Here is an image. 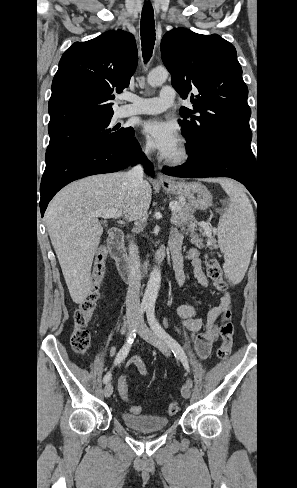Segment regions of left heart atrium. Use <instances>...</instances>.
I'll list each match as a JSON object with an SVG mask.
<instances>
[{
  "mask_svg": "<svg viewBox=\"0 0 297 488\" xmlns=\"http://www.w3.org/2000/svg\"><path fill=\"white\" fill-rule=\"evenodd\" d=\"M142 132L162 157H169L180 143L176 125L168 120L149 119L142 123Z\"/></svg>",
  "mask_w": 297,
  "mask_h": 488,
  "instance_id": "39dd6f15",
  "label": "left heart atrium"
}]
</instances>
